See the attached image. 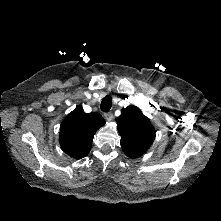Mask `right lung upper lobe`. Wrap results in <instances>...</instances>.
I'll return each instance as SVG.
<instances>
[{
  "mask_svg": "<svg viewBox=\"0 0 221 221\" xmlns=\"http://www.w3.org/2000/svg\"><path fill=\"white\" fill-rule=\"evenodd\" d=\"M104 124L99 113L87 114L82 106H77L61 123V149L75 159L85 157L90 152L94 134Z\"/></svg>",
  "mask_w": 221,
  "mask_h": 221,
  "instance_id": "right-lung-upper-lobe-1",
  "label": "right lung upper lobe"
}]
</instances>
